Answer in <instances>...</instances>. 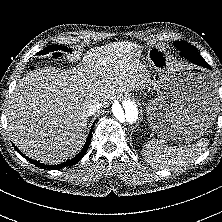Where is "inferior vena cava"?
Instances as JSON below:
<instances>
[{"label":"inferior vena cava","mask_w":222,"mask_h":222,"mask_svg":"<svg viewBox=\"0 0 222 222\" xmlns=\"http://www.w3.org/2000/svg\"><path fill=\"white\" fill-rule=\"evenodd\" d=\"M101 106L102 105L100 102L89 103L86 107V112L90 116V115L94 114L95 112H97L101 108Z\"/></svg>","instance_id":"602c4592"}]
</instances>
